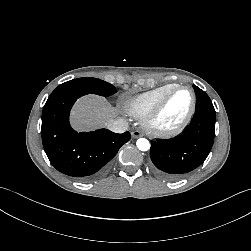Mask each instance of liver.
<instances>
[{
  "mask_svg": "<svg viewBox=\"0 0 251 251\" xmlns=\"http://www.w3.org/2000/svg\"><path fill=\"white\" fill-rule=\"evenodd\" d=\"M117 110L105 98L90 95L80 99L72 111V123L78 130L107 126L114 121Z\"/></svg>",
  "mask_w": 251,
  "mask_h": 251,
  "instance_id": "liver-1",
  "label": "liver"
}]
</instances>
